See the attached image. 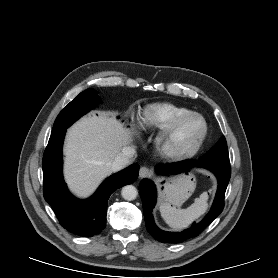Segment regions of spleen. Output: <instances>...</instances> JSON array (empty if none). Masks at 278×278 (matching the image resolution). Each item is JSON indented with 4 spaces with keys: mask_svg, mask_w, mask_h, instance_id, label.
I'll return each instance as SVG.
<instances>
[{
    "mask_svg": "<svg viewBox=\"0 0 278 278\" xmlns=\"http://www.w3.org/2000/svg\"><path fill=\"white\" fill-rule=\"evenodd\" d=\"M208 193L203 192L194 203L186 209H176L170 203L160 205V213L165 222L173 229H183L203 215L207 210Z\"/></svg>",
    "mask_w": 278,
    "mask_h": 278,
    "instance_id": "1",
    "label": "spleen"
}]
</instances>
